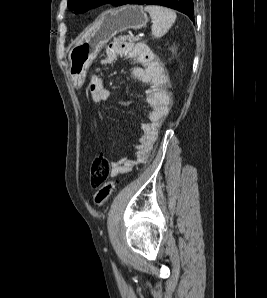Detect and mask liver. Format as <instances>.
<instances>
[{
	"label": "liver",
	"instance_id": "obj_1",
	"mask_svg": "<svg viewBox=\"0 0 267 298\" xmlns=\"http://www.w3.org/2000/svg\"><path fill=\"white\" fill-rule=\"evenodd\" d=\"M98 27V24L92 26L86 33L82 36V38L76 43V45L82 43L85 39L89 38L92 32Z\"/></svg>",
	"mask_w": 267,
	"mask_h": 298
}]
</instances>
